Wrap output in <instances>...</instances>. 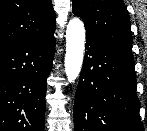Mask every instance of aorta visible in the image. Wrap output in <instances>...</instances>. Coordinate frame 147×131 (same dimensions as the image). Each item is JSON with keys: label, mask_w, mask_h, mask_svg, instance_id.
<instances>
[{"label": "aorta", "mask_w": 147, "mask_h": 131, "mask_svg": "<svg viewBox=\"0 0 147 131\" xmlns=\"http://www.w3.org/2000/svg\"><path fill=\"white\" fill-rule=\"evenodd\" d=\"M84 47V24L79 18H73L66 29L65 73L69 82H73L81 71Z\"/></svg>", "instance_id": "obj_1"}]
</instances>
